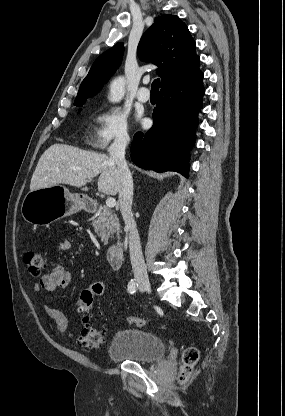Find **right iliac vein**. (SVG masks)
<instances>
[{
  "label": "right iliac vein",
  "mask_w": 285,
  "mask_h": 416,
  "mask_svg": "<svg viewBox=\"0 0 285 416\" xmlns=\"http://www.w3.org/2000/svg\"><path fill=\"white\" fill-rule=\"evenodd\" d=\"M137 283L143 290H146L149 293L152 292L150 282L147 279L143 280V279L137 278Z\"/></svg>",
  "instance_id": "1"
}]
</instances>
